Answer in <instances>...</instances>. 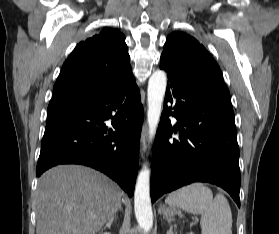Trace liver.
I'll list each match as a JSON object with an SVG mask.
<instances>
[{
  "mask_svg": "<svg viewBox=\"0 0 279 234\" xmlns=\"http://www.w3.org/2000/svg\"><path fill=\"white\" fill-rule=\"evenodd\" d=\"M122 194L93 169L54 167L38 180L36 234H96L115 213Z\"/></svg>",
  "mask_w": 279,
  "mask_h": 234,
  "instance_id": "obj_1",
  "label": "liver"
}]
</instances>
